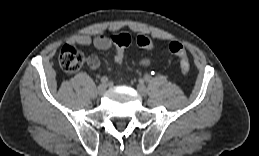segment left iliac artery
<instances>
[{"instance_id":"obj_1","label":"left iliac artery","mask_w":259,"mask_h":156,"mask_svg":"<svg viewBox=\"0 0 259 156\" xmlns=\"http://www.w3.org/2000/svg\"><path fill=\"white\" fill-rule=\"evenodd\" d=\"M152 74H154V72H152ZM144 79H145V81L148 82L150 80V76L149 75H145Z\"/></svg>"}]
</instances>
